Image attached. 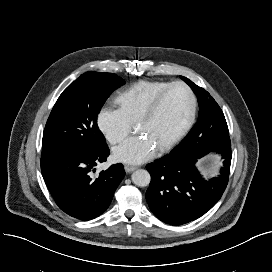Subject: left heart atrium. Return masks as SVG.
I'll return each mask as SVG.
<instances>
[{"label": "left heart atrium", "mask_w": 272, "mask_h": 272, "mask_svg": "<svg viewBox=\"0 0 272 272\" xmlns=\"http://www.w3.org/2000/svg\"><path fill=\"white\" fill-rule=\"evenodd\" d=\"M156 147L145 135L133 136L126 139L114 149L117 161L128 164H139L153 157Z\"/></svg>", "instance_id": "left-heart-atrium-1"}]
</instances>
